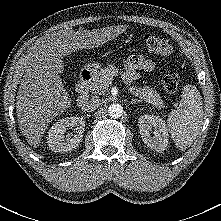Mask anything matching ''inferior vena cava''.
<instances>
[{
	"instance_id": "inferior-vena-cava-1",
	"label": "inferior vena cava",
	"mask_w": 221,
	"mask_h": 221,
	"mask_svg": "<svg viewBox=\"0 0 221 221\" xmlns=\"http://www.w3.org/2000/svg\"><path fill=\"white\" fill-rule=\"evenodd\" d=\"M101 105V100L97 97L90 99L89 101L84 102L82 110L84 112H92L96 110Z\"/></svg>"
}]
</instances>
